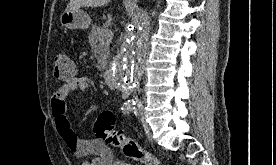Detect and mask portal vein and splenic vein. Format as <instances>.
I'll return each instance as SVG.
<instances>
[{"label": "portal vein and splenic vein", "instance_id": "portal-vein-and-splenic-vein-1", "mask_svg": "<svg viewBox=\"0 0 276 165\" xmlns=\"http://www.w3.org/2000/svg\"><path fill=\"white\" fill-rule=\"evenodd\" d=\"M112 35V32L110 29H108L107 27L104 28L102 31H101V36L102 37H110Z\"/></svg>", "mask_w": 276, "mask_h": 165}]
</instances>
